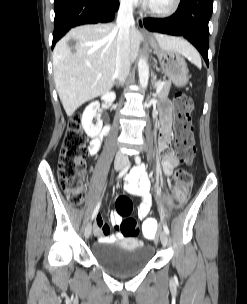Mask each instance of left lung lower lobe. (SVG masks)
Segmentation results:
<instances>
[{
	"label": "left lung lower lobe",
	"mask_w": 247,
	"mask_h": 304,
	"mask_svg": "<svg viewBox=\"0 0 247 304\" xmlns=\"http://www.w3.org/2000/svg\"><path fill=\"white\" fill-rule=\"evenodd\" d=\"M213 0H181L171 17L144 19V26L153 32L183 36L208 60V23L212 14Z\"/></svg>",
	"instance_id": "0a47b994"
}]
</instances>
